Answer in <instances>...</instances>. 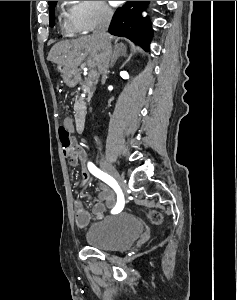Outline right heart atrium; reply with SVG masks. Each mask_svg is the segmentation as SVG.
Here are the masks:
<instances>
[{
	"label": "right heart atrium",
	"mask_w": 237,
	"mask_h": 300,
	"mask_svg": "<svg viewBox=\"0 0 237 300\" xmlns=\"http://www.w3.org/2000/svg\"><path fill=\"white\" fill-rule=\"evenodd\" d=\"M114 13L105 1H73L67 7L72 32L87 34L95 28L109 24Z\"/></svg>",
	"instance_id": "obj_1"
}]
</instances>
